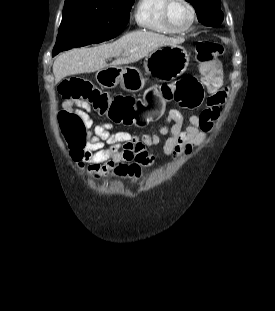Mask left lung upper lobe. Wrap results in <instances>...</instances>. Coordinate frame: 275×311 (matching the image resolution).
Masks as SVG:
<instances>
[{
	"label": "left lung upper lobe",
	"instance_id": "5c2ea615",
	"mask_svg": "<svg viewBox=\"0 0 275 311\" xmlns=\"http://www.w3.org/2000/svg\"><path fill=\"white\" fill-rule=\"evenodd\" d=\"M197 12L198 20L206 26L217 27L223 21L220 0H186Z\"/></svg>",
	"mask_w": 275,
	"mask_h": 311
}]
</instances>
